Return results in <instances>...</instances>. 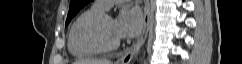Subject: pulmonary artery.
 I'll use <instances>...</instances> for the list:
<instances>
[{"label":"pulmonary artery","instance_id":"e3ab8cb5","mask_svg":"<svg viewBox=\"0 0 242 64\" xmlns=\"http://www.w3.org/2000/svg\"><path fill=\"white\" fill-rule=\"evenodd\" d=\"M127 1L128 0H96L94 5L98 6L103 10H107L114 4L127 2Z\"/></svg>","mask_w":242,"mask_h":64}]
</instances>
